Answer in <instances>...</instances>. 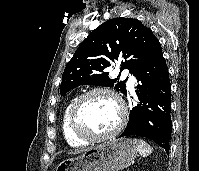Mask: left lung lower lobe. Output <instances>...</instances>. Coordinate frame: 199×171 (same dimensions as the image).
Here are the masks:
<instances>
[{
  "label": "left lung lower lobe",
  "instance_id": "obj_1",
  "mask_svg": "<svg viewBox=\"0 0 199 171\" xmlns=\"http://www.w3.org/2000/svg\"><path fill=\"white\" fill-rule=\"evenodd\" d=\"M134 76L139 81L136 94L140 102L132 106L127 127L119 137H146L168 154L172 132L171 84L159 42Z\"/></svg>",
  "mask_w": 199,
  "mask_h": 171
}]
</instances>
